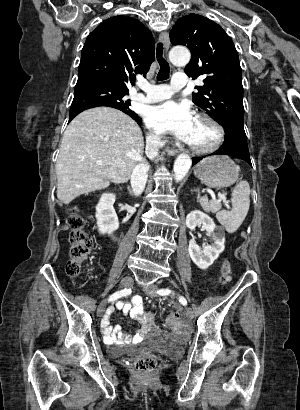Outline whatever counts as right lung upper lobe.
Wrapping results in <instances>:
<instances>
[{"instance_id":"right-lung-upper-lobe-1","label":"right lung upper lobe","mask_w":300,"mask_h":410,"mask_svg":"<svg viewBox=\"0 0 300 410\" xmlns=\"http://www.w3.org/2000/svg\"><path fill=\"white\" fill-rule=\"evenodd\" d=\"M154 44L151 32L134 18L105 20L86 39L77 83H100L129 92L135 74L145 76L149 71Z\"/></svg>"}]
</instances>
